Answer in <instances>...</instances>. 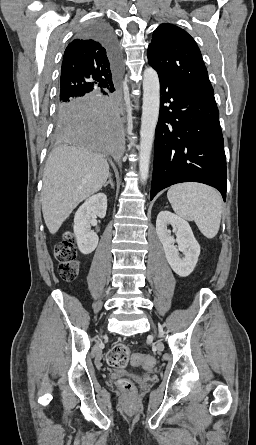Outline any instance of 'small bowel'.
Here are the masks:
<instances>
[{
    "label": "small bowel",
    "instance_id": "obj_1",
    "mask_svg": "<svg viewBox=\"0 0 256 445\" xmlns=\"http://www.w3.org/2000/svg\"><path fill=\"white\" fill-rule=\"evenodd\" d=\"M153 361V360H152ZM153 364V363H152ZM152 364L151 365H147V364H142L143 365V367L145 368V369H150L151 367H152Z\"/></svg>",
    "mask_w": 256,
    "mask_h": 445
}]
</instances>
